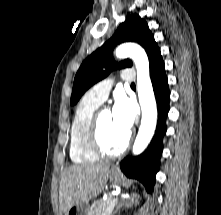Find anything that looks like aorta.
<instances>
[{
    "label": "aorta",
    "mask_w": 221,
    "mask_h": 215,
    "mask_svg": "<svg viewBox=\"0 0 221 215\" xmlns=\"http://www.w3.org/2000/svg\"><path fill=\"white\" fill-rule=\"evenodd\" d=\"M118 58L130 57L137 70V90L142 110L141 125L133 145V154L139 155L151 141L157 124V106L149 75V60L145 50L135 43L117 47Z\"/></svg>",
    "instance_id": "obj_1"
}]
</instances>
